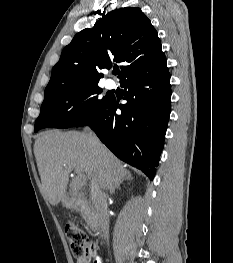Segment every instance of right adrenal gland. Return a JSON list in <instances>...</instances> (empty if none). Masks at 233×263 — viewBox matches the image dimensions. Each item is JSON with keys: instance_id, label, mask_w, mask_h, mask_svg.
<instances>
[{"instance_id": "1", "label": "right adrenal gland", "mask_w": 233, "mask_h": 263, "mask_svg": "<svg viewBox=\"0 0 233 263\" xmlns=\"http://www.w3.org/2000/svg\"><path fill=\"white\" fill-rule=\"evenodd\" d=\"M132 179L133 178H132L131 174H128L126 176V180L127 181H131ZM116 189H120V184H117V185L113 186L112 188L109 189V191H110L111 194H114Z\"/></svg>"}]
</instances>
